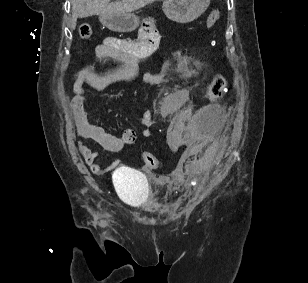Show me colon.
Masks as SVG:
<instances>
[{
    "instance_id": "5ec220e1",
    "label": "colon",
    "mask_w": 308,
    "mask_h": 283,
    "mask_svg": "<svg viewBox=\"0 0 308 283\" xmlns=\"http://www.w3.org/2000/svg\"><path fill=\"white\" fill-rule=\"evenodd\" d=\"M219 18V10H213L206 20V27L211 28L212 26H214L219 20ZM79 35L84 40L90 39L92 36L91 26L88 23H82L79 26ZM226 84L227 81L225 76L222 74H218L207 87L205 95L206 99L209 101H215L220 98L225 91ZM142 158L144 164L149 168L156 169L159 168L161 165L159 159L152 153L145 152L143 153Z\"/></svg>"
}]
</instances>
